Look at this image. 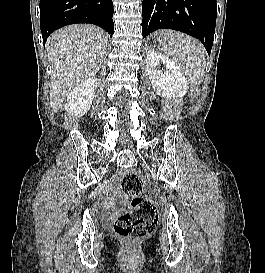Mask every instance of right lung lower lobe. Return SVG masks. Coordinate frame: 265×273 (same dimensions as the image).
I'll list each match as a JSON object with an SVG mask.
<instances>
[{
  "mask_svg": "<svg viewBox=\"0 0 265 273\" xmlns=\"http://www.w3.org/2000/svg\"><path fill=\"white\" fill-rule=\"evenodd\" d=\"M112 0H40V26L43 44L55 30L74 23L100 26L114 32Z\"/></svg>",
  "mask_w": 265,
  "mask_h": 273,
  "instance_id": "obj_1",
  "label": "right lung lower lobe"
}]
</instances>
